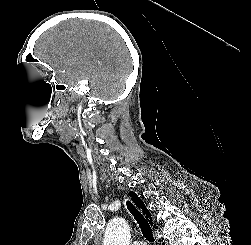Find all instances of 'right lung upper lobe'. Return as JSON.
<instances>
[{"label":"right lung upper lobe","instance_id":"cb5924a9","mask_svg":"<svg viewBox=\"0 0 251 245\" xmlns=\"http://www.w3.org/2000/svg\"><path fill=\"white\" fill-rule=\"evenodd\" d=\"M129 196L131 197L132 201L139 207L141 208L144 213L146 214V217L148 220L151 221V216L150 213L148 212L147 208L145 207L143 201L134 193V192H129ZM152 222V221H151Z\"/></svg>","mask_w":251,"mask_h":245}]
</instances>
